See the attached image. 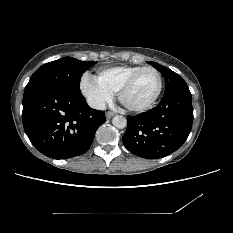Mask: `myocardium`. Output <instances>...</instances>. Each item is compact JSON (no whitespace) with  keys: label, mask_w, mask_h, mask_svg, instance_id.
Returning <instances> with one entry per match:
<instances>
[{"label":"myocardium","mask_w":233,"mask_h":233,"mask_svg":"<svg viewBox=\"0 0 233 233\" xmlns=\"http://www.w3.org/2000/svg\"><path fill=\"white\" fill-rule=\"evenodd\" d=\"M154 71L157 74L158 77V86H157V90L156 93L154 94V96L147 101L146 103L139 105V106H130L127 105L124 101V96L126 94V92L135 84V82L137 81V79L146 71ZM162 87H163V80H162V75L161 72L156 69L155 67L152 66H146L143 67L142 69L138 70L137 72L133 73L124 83L123 85L120 87L118 93H117V97L118 100L120 102V104L128 111H132V112H141L144 111L148 108H150L159 98L161 91H162Z\"/></svg>","instance_id":"f54148a6"}]
</instances>
